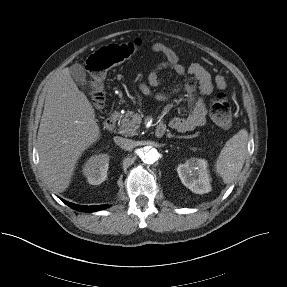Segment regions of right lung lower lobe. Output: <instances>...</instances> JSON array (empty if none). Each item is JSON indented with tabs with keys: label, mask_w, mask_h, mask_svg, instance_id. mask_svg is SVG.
Instances as JSON below:
<instances>
[{
	"label": "right lung lower lobe",
	"mask_w": 287,
	"mask_h": 287,
	"mask_svg": "<svg viewBox=\"0 0 287 287\" xmlns=\"http://www.w3.org/2000/svg\"><path fill=\"white\" fill-rule=\"evenodd\" d=\"M66 205L70 206L71 208L82 211V212H94V211H99L107 208V205H98V206H82V205H77L74 203L67 202L63 199H61Z\"/></svg>",
	"instance_id": "98d812e1"
}]
</instances>
